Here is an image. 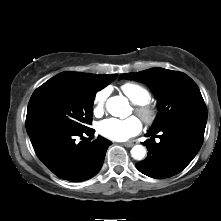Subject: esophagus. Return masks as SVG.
<instances>
[{
    "label": "esophagus",
    "instance_id": "34e87169",
    "mask_svg": "<svg viewBox=\"0 0 221 221\" xmlns=\"http://www.w3.org/2000/svg\"><path fill=\"white\" fill-rule=\"evenodd\" d=\"M123 145L125 147H132L134 145V143L133 142H126V143H123Z\"/></svg>",
    "mask_w": 221,
    "mask_h": 221
}]
</instances>
